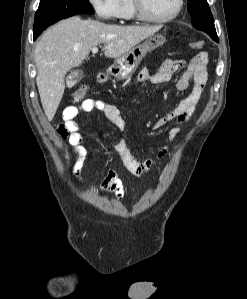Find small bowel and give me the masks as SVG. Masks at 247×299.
<instances>
[{
    "label": "small bowel",
    "mask_w": 247,
    "mask_h": 299,
    "mask_svg": "<svg viewBox=\"0 0 247 299\" xmlns=\"http://www.w3.org/2000/svg\"><path fill=\"white\" fill-rule=\"evenodd\" d=\"M207 63V53L200 52L188 63L184 60L168 59L162 63L155 73H150L148 69L141 70L138 76V81L141 83L162 84L169 82L174 73L182 67H185V70L177 80V88L180 91H185L188 89L191 81H193L190 94L175 108L169 111L165 117L157 119L153 125L154 129H161L172 121L180 124L189 119L204 91L207 81ZM94 110L104 113L118 133L124 131L125 121L122 118L119 109L114 104L92 98L83 100L78 106L71 105L66 107L63 111V123L57 128L59 137L64 140H68L75 148V154L79 159L74 166L73 175L79 183L85 186H87V183L81 177V171L86 160L87 150L83 145L84 138L80 131L77 116L80 112H91ZM177 134L178 128L173 126L168 133L169 139L171 141L174 140L177 137ZM109 147L120 156L126 170L138 177L149 174L169 152L168 147H164L158 152L155 159L139 161L131 154L124 138L120 135L115 136L111 140ZM98 188L104 192L113 193L118 200H121L124 197L123 182L114 170L107 171Z\"/></svg>",
    "instance_id": "obj_1"
}]
</instances>
